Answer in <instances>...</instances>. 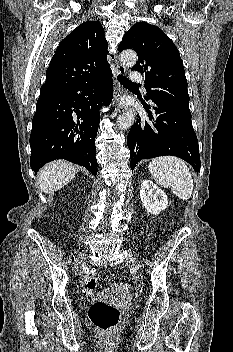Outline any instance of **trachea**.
Listing matches in <instances>:
<instances>
[{"label":"trachea","instance_id":"1","mask_svg":"<svg viewBox=\"0 0 233 352\" xmlns=\"http://www.w3.org/2000/svg\"><path fill=\"white\" fill-rule=\"evenodd\" d=\"M117 79H118V81H119L121 84H123V85H138V84H136V83L131 82L128 78H126L125 76H123V75H121V74H119V75L117 76Z\"/></svg>","mask_w":233,"mask_h":352}]
</instances>
